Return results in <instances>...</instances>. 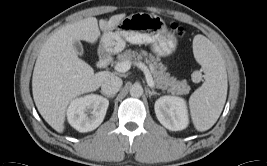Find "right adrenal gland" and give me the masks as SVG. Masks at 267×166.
<instances>
[{"label": "right adrenal gland", "instance_id": "1", "mask_svg": "<svg viewBox=\"0 0 267 166\" xmlns=\"http://www.w3.org/2000/svg\"><path fill=\"white\" fill-rule=\"evenodd\" d=\"M100 92H101V94H103L104 96H106L102 91H100ZM106 97L107 98H114V95H111V96L110 95H107Z\"/></svg>", "mask_w": 267, "mask_h": 166}]
</instances>
